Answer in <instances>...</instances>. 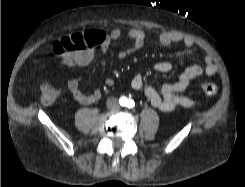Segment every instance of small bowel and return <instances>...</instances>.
<instances>
[{
    "instance_id": "obj_1",
    "label": "small bowel",
    "mask_w": 245,
    "mask_h": 187,
    "mask_svg": "<svg viewBox=\"0 0 245 187\" xmlns=\"http://www.w3.org/2000/svg\"><path fill=\"white\" fill-rule=\"evenodd\" d=\"M87 41L90 48L67 53L62 56L61 64L63 66H86L94 59V45L99 46L100 53L105 55L109 52L112 42L117 41L123 37L132 41V46L121 50L118 53V58L124 59L139 50L146 41V33L140 29H129L123 31L116 28L106 33L100 29L92 28L86 32ZM158 41L163 46H169L173 43H182L187 48H193L195 43L192 38L182 35L177 32L161 31L157 35ZM173 65L168 61L159 62L155 64L154 70L157 73H168L172 71ZM217 72L211 56L204 57V66L193 65L184 70L178 77L177 81L173 84L164 85L160 91L154 87L145 86L144 79L140 74L133 76L131 86L135 90H143L146 98L155 108L162 112H172L179 107H191L195 105L192 98L181 94L184 90L192 85V83L201 75L213 76ZM82 77H75L68 81L67 90L72 95L75 101L80 104H91L99 100L101 97L100 90L93 88L89 92L81 90L80 84ZM107 85H112V81L108 80Z\"/></svg>"
}]
</instances>
